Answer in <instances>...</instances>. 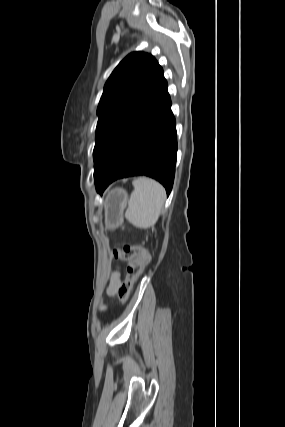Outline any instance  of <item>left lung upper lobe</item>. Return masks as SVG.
<instances>
[{
	"mask_svg": "<svg viewBox=\"0 0 285 427\" xmlns=\"http://www.w3.org/2000/svg\"><path fill=\"white\" fill-rule=\"evenodd\" d=\"M164 81L162 67L150 54L132 52L118 64L104 86L97 109L94 162L114 146Z\"/></svg>",
	"mask_w": 285,
	"mask_h": 427,
	"instance_id": "obj_1",
	"label": "left lung upper lobe"
}]
</instances>
